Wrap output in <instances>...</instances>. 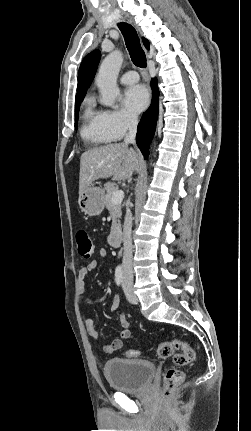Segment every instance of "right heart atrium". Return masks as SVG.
<instances>
[{
	"label": "right heart atrium",
	"instance_id": "obj_1",
	"mask_svg": "<svg viewBox=\"0 0 251 431\" xmlns=\"http://www.w3.org/2000/svg\"><path fill=\"white\" fill-rule=\"evenodd\" d=\"M102 120L107 132L114 138L123 137L128 131L137 126L134 114L123 109H108L102 111Z\"/></svg>",
	"mask_w": 251,
	"mask_h": 431
}]
</instances>
